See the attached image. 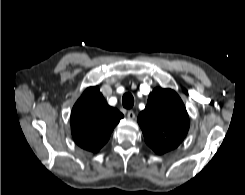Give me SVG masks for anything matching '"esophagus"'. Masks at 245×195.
Returning a JSON list of instances; mask_svg holds the SVG:
<instances>
[{"label": "esophagus", "mask_w": 245, "mask_h": 195, "mask_svg": "<svg viewBox=\"0 0 245 195\" xmlns=\"http://www.w3.org/2000/svg\"><path fill=\"white\" fill-rule=\"evenodd\" d=\"M127 117L132 120V119H135L136 115L132 110H129L127 112Z\"/></svg>", "instance_id": "esophagus-1"}]
</instances>
